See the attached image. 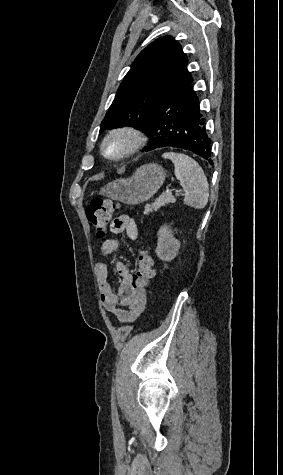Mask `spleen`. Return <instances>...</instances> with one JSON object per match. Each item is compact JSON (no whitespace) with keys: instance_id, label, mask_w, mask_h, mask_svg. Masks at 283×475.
Wrapping results in <instances>:
<instances>
[{"instance_id":"3e777b00","label":"spleen","mask_w":283,"mask_h":475,"mask_svg":"<svg viewBox=\"0 0 283 475\" xmlns=\"http://www.w3.org/2000/svg\"><path fill=\"white\" fill-rule=\"evenodd\" d=\"M162 158L171 160L174 164V174L185 192L184 204L196 210L205 208L209 198V184L199 164L193 158L176 152H166Z\"/></svg>"}]
</instances>
